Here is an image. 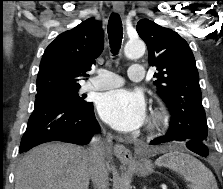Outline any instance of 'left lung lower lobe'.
Wrapping results in <instances>:
<instances>
[{"label": "left lung lower lobe", "mask_w": 223, "mask_h": 189, "mask_svg": "<svg viewBox=\"0 0 223 189\" xmlns=\"http://www.w3.org/2000/svg\"><path fill=\"white\" fill-rule=\"evenodd\" d=\"M170 141H177L176 139L174 138H170V137H167V136H161V137H157L155 139H153L150 144L152 145H161L162 143H166V142H170ZM186 143V146L189 150L203 156V157H206L208 156L209 154V150H208V146L207 144H202V143H199V142H196V141H187L185 142Z\"/></svg>", "instance_id": "left-lung-lower-lobe-1"}]
</instances>
